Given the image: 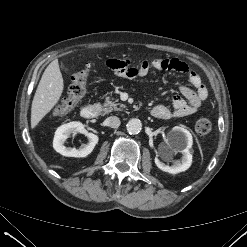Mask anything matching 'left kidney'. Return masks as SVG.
<instances>
[{
	"label": "left kidney",
	"instance_id": "left-kidney-1",
	"mask_svg": "<svg viewBox=\"0 0 247 247\" xmlns=\"http://www.w3.org/2000/svg\"><path fill=\"white\" fill-rule=\"evenodd\" d=\"M173 139L179 141V144L174 143L173 140L169 142V152H180L182 153V158L180 160H176L172 166H168L155 158V164L164 172L177 174L186 171L191 166L192 154L190 152V148L192 147L193 139L191 133L187 129L181 127H176Z\"/></svg>",
	"mask_w": 247,
	"mask_h": 247
}]
</instances>
